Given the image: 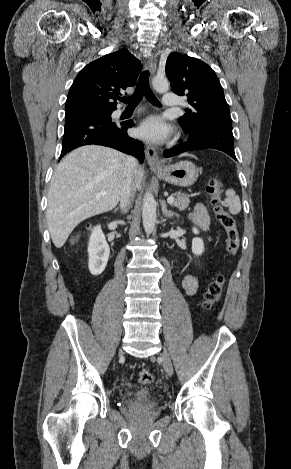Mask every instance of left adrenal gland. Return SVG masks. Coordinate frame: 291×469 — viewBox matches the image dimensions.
I'll list each match as a JSON object with an SVG mask.
<instances>
[{"mask_svg": "<svg viewBox=\"0 0 291 469\" xmlns=\"http://www.w3.org/2000/svg\"><path fill=\"white\" fill-rule=\"evenodd\" d=\"M161 206H162L163 215L165 217L178 216V214L176 212H173V211L167 209L165 201H162Z\"/></svg>", "mask_w": 291, "mask_h": 469, "instance_id": "a2214340", "label": "left adrenal gland"}]
</instances>
